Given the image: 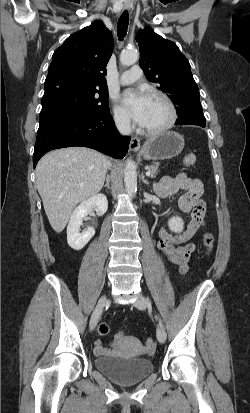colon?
I'll use <instances>...</instances> for the list:
<instances>
[{"label":"colon","instance_id":"obj_1","mask_svg":"<svg viewBox=\"0 0 250 413\" xmlns=\"http://www.w3.org/2000/svg\"><path fill=\"white\" fill-rule=\"evenodd\" d=\"M196 156L194 154H189L187 155L184 160H183V164L185 166H191L193 164L196 163ZM213 242H214V238L213 235L211 233H205L204 237H203V243L204 246L206 248L207 253H209L213 247ZM109 332V326L107 323L103 322L98 326V333L100 335H106ZM121 338H126V333H125V329H119L115 335L112 337V342L113 343H118ZM146 344V348L148 351H153L155 349V342L152 338H148L145 342Z\"/></svg>","mask_w":250,"mask_h":413}]
</instances>
